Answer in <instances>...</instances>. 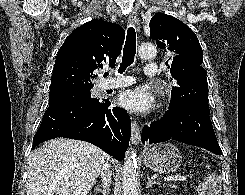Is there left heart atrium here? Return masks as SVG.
<instances>
[{"label":"left heart atrium","instance_id":"1","mask_svg":"<svg viewBox=\"0 0 245 195\" xmlns=\"http://www.w3.org/2000/svg\"><path fill=\"white\" fill-rule=\"evenodd\" d=\"M118 102L121 107L134 113L143 114L153 108L152 96L143 88H133L123 91Z\"/></svg>","mask_w":245,"mask_h":195}]
</instances>
